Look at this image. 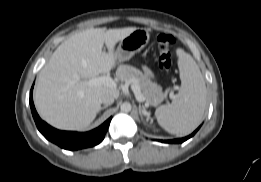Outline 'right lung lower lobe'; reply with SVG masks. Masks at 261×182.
<instances>
[{"instance_id": "right-lung-lower-lobe-1", "label": "right lung lower lobe", "mask_w": 261, "mask_h": 182, "mask_svg": "<svg viewBox=\"0 0 261 182\" xmlns=\"http://www.w3.org/2000/svg\"><path fill=\"white\" fill-rule=\"evenodd\" d=\"M32 92L33 86L30 91V106L33 118L35 120L38 130L49 141L57 144L58 146L64 149L77 150L81 148L95 146L104 139L105 133L107 132V129L111 121V117L107 121H105L101 126L89 132L78 133L60 131L51 127L50 125L41 120L34 107Z\"/></svg>"}]
</instances>
